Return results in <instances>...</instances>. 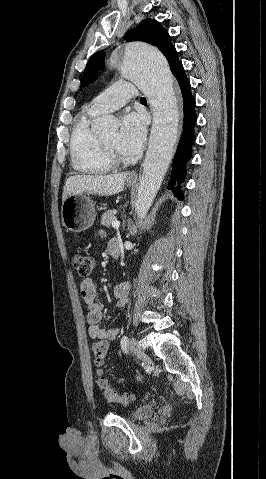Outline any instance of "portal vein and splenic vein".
<instances>
[{"mask_svg":"<svg viewBox=\"0 0 266 479\" xmlns=\"http://www.w3.org/2000/svg\"><path fill=\"white\" fill-rule=\"evenodd\" d=\"M119 226H120V222H119V221H114V222L112 223V227H113V228H116V229H117V228H119Z\"/></svg>","mask_w":266,"mask_h":479,"instance_id":"obj_1","label":"portal vein and splenic vein"}]
</instances>
